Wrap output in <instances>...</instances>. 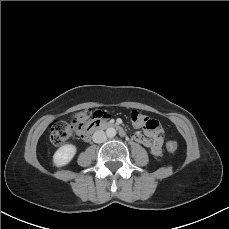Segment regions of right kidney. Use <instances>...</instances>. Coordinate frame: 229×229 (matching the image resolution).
Here are the masks:
<instances>
[{
    "label": "right kidney",
    "instance_id": "1",
    "mask_svg": "<svg viewBox=\"0 0 229 229\" xmlns=\"http://www.w3.org/2000/svg\"><path fill=\"white\" fill-rule=\"evenodd\" d=\"M76 147L73 144L61 146L53 155V163L57 167L67 165L76 154Z\"/></svg>",
    "mask_w": 229,
    "mask_h": 229
}]
</instances>
